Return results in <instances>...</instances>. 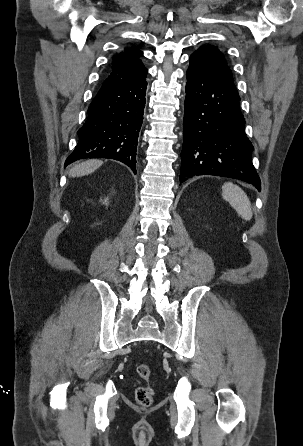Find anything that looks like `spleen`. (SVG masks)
Instances as JSON below:
<instances>
[{
  "label": "spleen",
  "instance_id": "3e777b00",
  "mask_svg": "<svg viewBox=\"0 0 303 446\" xmlns=\"http://www.w3.org/2000/svg\"><path fill=\"white\" fill-rule=\"evenodd\" d=\"M222 196L244 220H251L253 212L250 200L239 186L231 182L224 183Z\"/></svg>",
  "mask_w": 303,
  "mask_h": 446
}]
</instances>
